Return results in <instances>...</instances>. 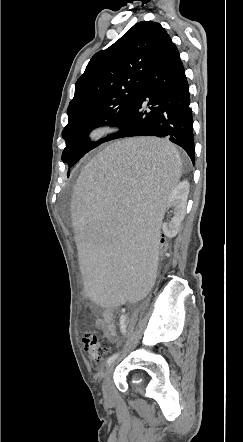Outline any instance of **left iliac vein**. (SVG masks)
<instances>
[{
    "mask_svg": "<svg viewBox=\"0 0 243 442\" xmlns=\"http://www.w3.org/2000/svg\"><path fill=\"white\" fill-rule=\"evenodd\" d=\"M115 364L112 363L106 369L104 374V380L102 384L103 396L106 402H111L113 400V389L111 384V376L114 371Z\"/></svg>",
    "mask_w": 243,
    "mask_h": 442,
    "instance_id": "4c4485c4",
    "label": "left iliac vein"
}]
</instances>
